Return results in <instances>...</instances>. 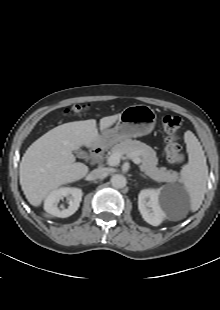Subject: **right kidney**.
I'll return each mask as SVG.
<instances>
[{"label": "right kidney", "mask_w": 220, "mask_h": 310, "mask_svg": "<svg viewBox=\"0 0 220 310\" xmlns=\"http://www.w3.org/2000/svg\"><path fill=\"white\" fill-rule=\"evenodd\" d=\"M82 195V190L79 188L61 187L54 189L45 198L44 210L56 217H69L78 210ZM64 197L69 200V206L67 209L60 210L57 205Z\"/></svg>", "instance_id": "ca27d5eb"}]
</instances>
